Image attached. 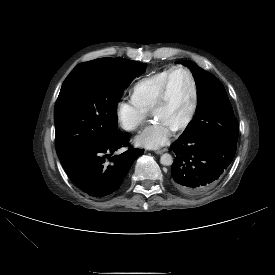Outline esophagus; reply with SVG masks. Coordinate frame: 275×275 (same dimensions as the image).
Here are the masks:
<instances>
[{
    "label": "esophagus",
    "instance_id": "1",
    "mask_svg": "<svg viewBox=\"0 0 275 275\" xmlns=\"http://www.w3.org/2000/svg\"><path fill=\"white\" fill-rule=\"evenodd\" d=\"M166 151H167V149L164 148V149H161V150H156L155 153L158 154V155H160V154H162V153H164Z\"/></svg>",
    "mask_w": 275,
    "mask_h": 275
}]
</instances>
